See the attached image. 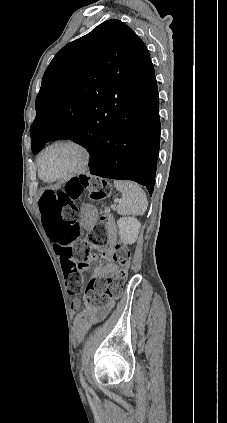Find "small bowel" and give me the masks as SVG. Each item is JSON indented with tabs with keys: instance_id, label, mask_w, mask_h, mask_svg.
Listing matches in <instances>:
<instances>
[{
	"instance_id": "c3829d8e",
	"label": "small bowel",
	"mask_w": 227,
	"mask_h": 423,
	"mask_svg": "<svg viewBox=\"0 0 227 423\" xmlns=\"http://www.w3.org/2000/svg\"><path fill=\"white\" fill-rule=\"evenodd\" d=\"M54 249L57 252L56 243H54ZM102 256L108 261V263L95 269L94 275L100 278L112 274L116 270V266L112 261L111 246L102 250ZM70 306L73 311H77L80 308V301L78 299H73ZM112 307L113 301H110L98 311L78 314L74 319L75 334L77 339L82 340L94 324L103 320L108 315Z\"/></svg>"
}]
</instances>
